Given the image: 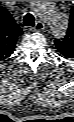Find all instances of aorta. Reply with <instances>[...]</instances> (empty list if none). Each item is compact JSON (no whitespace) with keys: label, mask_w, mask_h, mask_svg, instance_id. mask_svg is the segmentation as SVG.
Wrapping results in <instances>:
<instances>
[{"label":"aorta","mask_w":74,"mask_h":122,"mask_svg":"<svg viewBox=\"0 0 74 122\" xmlns=\"http://www.w3.org/2000/svg\"><path fill=\"white\" fill-rule=\"evenodd\" d=\"M31 8L43 20L54 38L62 39L65 37L68 19L54 7L53 2L32 1Z\"/></svg>","instance_id":"obj_1"}]
</instances>
